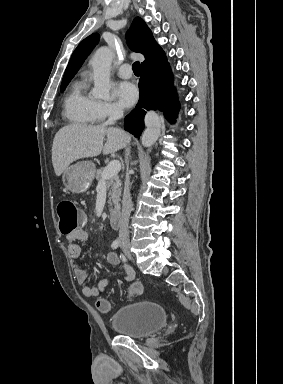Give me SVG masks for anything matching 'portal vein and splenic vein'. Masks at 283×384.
Returning <instances> with one entry per match:
<instances>
[{
  "label": "portal vein and splenic vein",
  "instance_id": "portal-vein-and-splenic-vein-1",
  "mask_svg": "<svg viewBox=\"0 0 283 384\" xmlns=\"http://www.w3.org/2000/svg\"><path fill=\"white\" fill-rule=\"evenodd\" d=\"M121 170V164L119 160H112L106 168L103 170L102 178L103 180H110L112 176H117L118 172ZM102 180V182H103Z\"/></svg>",
  "mask_w": 283,
  "mask_h": 384
}]
</instances>
